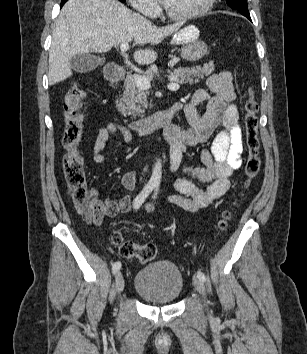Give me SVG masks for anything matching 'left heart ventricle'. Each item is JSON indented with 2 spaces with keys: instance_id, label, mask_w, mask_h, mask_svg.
Here are the masks:
<instances>
[{
  "instance_id": "1",
  "label": "left heart ventricle",
  "mask_w": 307,
  "mask_h": 354,
  "mask_svg": "<svg viewBox=\"0 0 307 354\" xmlns=\"http://www.w3.org/2000/svg\"><path fill=\"white\" fill-rule=\"evenodd\" d=\"M206 0H164L165 5L175 14H185L198 10Z\"/></svg>"
}]
</instances>
